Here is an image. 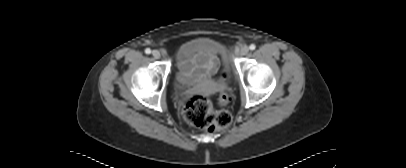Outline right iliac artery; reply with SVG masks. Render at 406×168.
Returning <instances> with one entry per match:
<instances>
[{
    "label": "right iliac artery",
    "instance_id": "82829eb1",
    "mask_svg": "<svg viewBox=\"0 0 406 168\" xmlns=\"http://www.w3.org/2000/svg\"><path fill=\"white\" fill-rule=\"evenodd\" d=\"M145 53H146V54H150V53H151V50H150L149 48H147V49H145Z\"/></svg>",
    "mask_w": 406,
    "mask_h": 168
}]
</instances>
